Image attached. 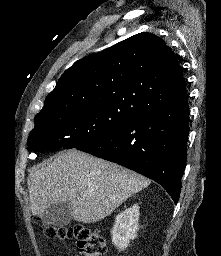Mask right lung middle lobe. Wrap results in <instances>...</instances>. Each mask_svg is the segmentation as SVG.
Masks as SVG:
<instances>
[{"mask_svg": "<svg viewBox=\"0 0 221 256\" xmlns=\"http://www.w3.org/2000/svg\"><path fill=\"white\" fill-rule=\"evenodd\" d=\"M131 110L108 104L83 105L36 115L28 137L33 151L77 148L135 118Z\"/></svg>", "mask_w": 221, "mask_h": 256, "instance_id": "dd1d6c3e", "label": "right lung middle lobe"}]
</instances>
